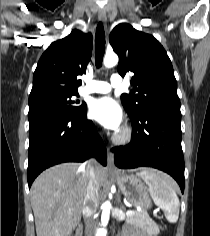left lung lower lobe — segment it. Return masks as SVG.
Returning a JSON list of instances; mask_svg holds the SVG:
<instances>
[{
    "mask_svg": "<svg viewBox=\"0 0 210 236\" xmlns=\"http://www.w3.org/2000/svg\"><path fill=\"white\" fill-rule=\"evenodd\" d=\"M130 119L131 143L112 149L115 165L123 169L141 166L160 169L178 182L183 193L185 178L180 109L152 107Z\"/></svg>",
    "mask_w": 210,
    "mask_h": 236,
    "instance_id": "0a47b994",
    "label": "left lung lower lobe"
}]
</instances>
